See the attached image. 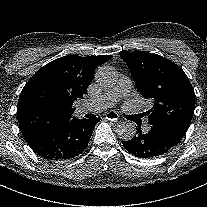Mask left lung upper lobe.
Segmentation results:
<instances>
[{
    "instance_id": "left-lung-upper-lobe-1",
    "label": "left lung upper lobe",
    "mask_w": 207,
    "mask_h": 207,
    "mask_svg": "<svg viewBox=\"0 0 207 207\" xmlns=\"http://www.w3.org/2000/svg\"><path fill=\"white\" fill-rule=\"evenodd\" d=\"M138 91L153 106L144 115L152 127L178 142L187 132L195 108V93L185 72L160 55L144 51L122 52Z\"/></svg>"
}]
</instances>
